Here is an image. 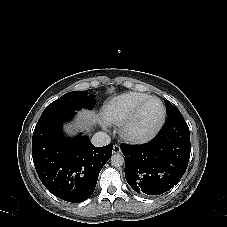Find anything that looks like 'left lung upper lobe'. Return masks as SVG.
I'll return each mask as SVG.
<instances>
[{"label":"left lung upper lobe","mask_w":227,"mask_h":227,"mask_svg":"<svg viewBox=\"0 0 227 227\" xmlns=\"http://www.w3.org/2000/svg\"><path fill=\"white\" fill-rule=\"evenodd\" d=\"M165 104H166L167 116L177 110V108L175 106H173L169 101L165 100Z\"/></svg>","instance_id":"obj_1"}]
</instances>
